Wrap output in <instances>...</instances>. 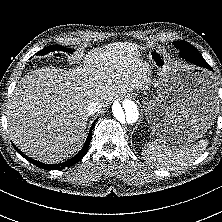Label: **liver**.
Instances as JSON below:
<instances>
[{"mask_svg":"<svg viewBox=\"0 0 222 222\" xmlns=\"http://www.w3.org/2000/svg\"><path fill=\"white\" fill-rule=\"evenodd\" d=\"M128 42L92 49L72 70L45 67L25 75L8 101V130L26 155L60 163L83 146L87 106L151 86V65ZM137 50V51H136Z\"/></svg>","mask_w":222,"mask_h":222,"instance_id":"obj_1","label":"liver"}]
</instances>
